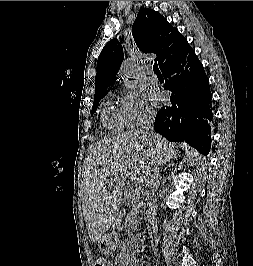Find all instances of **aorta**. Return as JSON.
I'll use <instances>...</instances> for the list:
<instances>
[{
  "label": "aorta",
  "instance_id": "aorta-1",
  "mask_svg": "<svg viewBox=\"0 0 253 266\" xmlns=\"http://www.w3.org/2000/svg\"><path fill=\"white\" fill-rule=\"evenodd\" d=\"M120 77L127 88L135 89L137 87L138 81L135 76V65L132 61L127 60L122 64Z\"/></svg>",
  "mask_w": 253,
  "mask_h": 266
}]
</instances>
